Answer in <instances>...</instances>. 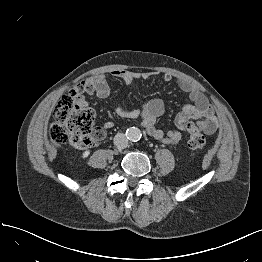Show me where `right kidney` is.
<instances>
[{
  "instance_id": "right-kidney-1",
  "label": "right kidney",
  "mask_w": 262,
  "mask_h": 262,
  "mask_svg": "<svg viewBox=\"0 0 262 262\" xmlns=\"http://www.w3.org/2000/svg\"><path fill=\"white\" fill-rule=\"evenodd\" d=\"M89 154H90V151H89V150H88V151H85V152L82 154V157H83V158H86V157L89 156Z\"/></svg>"
}]
</instances>
